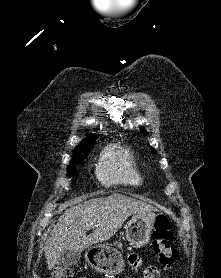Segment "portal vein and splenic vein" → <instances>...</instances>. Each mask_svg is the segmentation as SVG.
<instances>
[{"label": "portal vein and splenic vein", "instance_id": "1", "mask_svg": "<svg viewBox=\"0 0 221 278\" xmlns=\"http://www.w3.org/2000/svg\"><path fill=\"white\" fill-rule=\"evenodd\" d=\"M92 227H94V226L91 224V225L88 226V229H90V228H92Z\"/></svg>", "mask_w": 221, "mask_h": 278}]
</instances>
